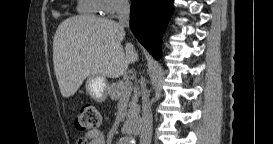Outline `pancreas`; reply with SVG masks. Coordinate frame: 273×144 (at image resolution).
Masks as SVG:
<instances>
[{
	"label": "pancreas",
	"mask_w": 273,
	"mask_h": 144,
	"mask_svg": "<svg viewBox=\"0 0 273 144\" xmlns=\"http://www.w3.org/2000/svg\"><path fill=\"white\" fill-rule=\"evenodd\" d=\"M128 81V80H126ZM126 81H118L116 83H112L109 87H108V95L110 96V98L112 100H119L122 99L123 97H125L127 99V103H128V113H127V122L132 121V119H134L139 111H140V107L137 104L138 102V91L137 88H134V95L132 96L131 100L129 101V97L131 95V90H128L126 88Z\"/></svg>",
	"instance_id": "1"
}]
</instances>
